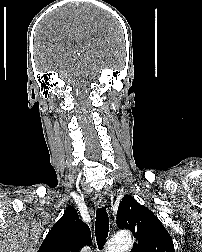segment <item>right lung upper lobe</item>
<instances>
[{"label":"right lung upper lobe","instance_id":"obj_1","mask_svg":"<svg viewBox=\"0 0 202 252\" xmlns=\"http://www.w3.org/2000/svg\"><path fill=\"white\" fill-rule=\"evenodd\" d=\"M90 244L91 231L88 225L79 219L74 207L68 206L47 234L38 252H79L84 245Z\"/></svg>","mask_w":202,"mask_h":252}]
</instances>
